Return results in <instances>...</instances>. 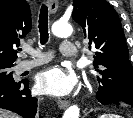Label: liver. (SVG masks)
I'll list each match as a JSON object with an SVG mask.
<instances>
[{"label": "liver", "instance_id": "6515ba94", "mask_svg": "<svg viewBox=\"0 0 133 118\" xmlns=\"http://www.w3.org/2000/svg\"><path fill=\"white\" fill-rule=\"evenodd\" d=\"M0 118H19V116L7 110L0 109Z\"/></svg>", "mask_w": 133, "mask_h": 118}]
</instances>
